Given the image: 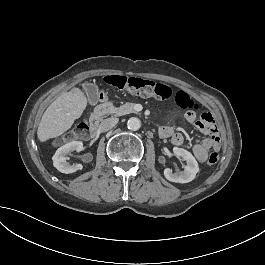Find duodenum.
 Wrapping results in <instances>:
<instances>
[{
    "label": "duodenum",
    "mask_w": 265,
    "mask_h": 265,
    "mask_svg": "<svg viewBox=\"0 0 265 265\" xmlns=\"http://www.w3.org/2000/svg\"><path fill=\"white\" fill-rule=\"evenodd\" d=\"M113 106L111 105V101L104 98L102 103L98 104L90 116L89 126L92 131H95L99 128V122L102 117L105 115L114 112Z\"/></svg>",
    "instance_id": "1"
}]
</instances>
